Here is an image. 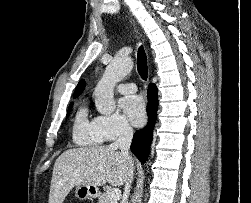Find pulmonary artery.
Listing matches in <instances>:
<instances>
[{
  "instance_id": "e3ab8cb5",
  "label": "pulmonary artery",
  "mask_w": 251,
  "mask_h": 203,
  "mask_svg": "<svg viewBox=\"0 0 251 203\" xmlns=\"http://www.w3.org/2000/svg\"><path fill=\"white\" fill-rule=\"evenodd\" d=\"M117 90L121 93H134L137 91V86L134 83H120L117 85Z\"/></svg>"
}]
</instances>
